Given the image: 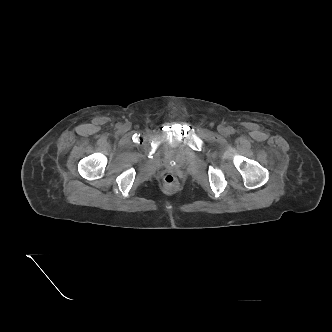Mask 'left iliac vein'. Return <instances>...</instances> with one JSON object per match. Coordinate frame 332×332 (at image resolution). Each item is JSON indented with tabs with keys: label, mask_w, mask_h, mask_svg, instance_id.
I'll return each mask as SVG.
<instances>
[{
	"label": "left iliac vein",
	"mask_w": 332,
	"mask_h": 332,
	"mask_svg": "<svg viewBox=\"0 0 332 332\" xmlns=\"http://www.w3.org/2000/svg\"><path fill=\"white\" fill-rule=\"evenodd\" d=\"M219 132H220L222 135H225V134L227 133V130H226L225 127L220 126V127H219Z\"/></svg>",
	"instance_id": "1"
}]
</instances>
